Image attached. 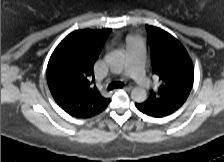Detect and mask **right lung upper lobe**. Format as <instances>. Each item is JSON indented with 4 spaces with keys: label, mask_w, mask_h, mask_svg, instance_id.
<instances>
[{
    "label": "right lung upper lobe",
    "mask_w": 224,
    "mask_h": 162,
    "mask_svg": "<svg viewBox=\"0 0 224 162\" xmlns=\"http://www.w3.org/2000/svg\"><path fill=\"white\" fill-rule=\"evenodd\" d=\"M110 29L78 30L66 36L52 53L47 82L57 104L78 118L102 112L110 102L92 86L93 65Z\"/></svg>",
    "instance_id": "cb5924a9"
}]
</instances>
